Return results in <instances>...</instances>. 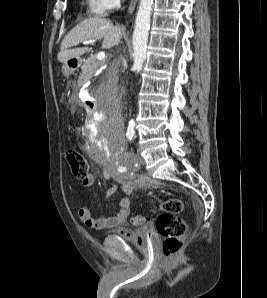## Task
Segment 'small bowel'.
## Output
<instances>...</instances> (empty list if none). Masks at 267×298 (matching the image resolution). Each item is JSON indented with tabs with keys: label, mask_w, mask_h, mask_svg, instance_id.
Instances as JSON below:
<instances>
[{
	"label": "small bowel",
	"mask_w": 267,
	"mask_h": 298,
	"mask_svg": "<svg viewBox=\"0 0 267 298\" xmlns=\"http://www.w3.org/2000/svg\"><path fill=\"white\" fill-rule=\"evenodd\" d=\"M104 176L106 179L113 177L119 184L122 192L125 194V196L119 201L117 213L110 217L97 218L93 215V211L90 207L81 206L78 209L79 218L89 228L96 230L119 229L121 234L129 235L130 231L129 229L125 228L124 225L126 224L127 218L130 214V199L128 196L133 191V185L120 174L112 175L110 172L106 171ZM93 183L94 177L92 175H89L88 179L82 182V184L87 187L93 185ZM145 183L150 187L156 186L152 181H145ZM117 189V184H111V186L108 188L107 195L109 197H113L116 194Z\"/></svg>",
	"instance_id": "small-bowel-1"
}]
</instances>
